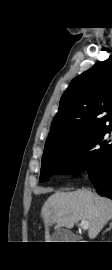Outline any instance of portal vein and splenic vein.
<instances>
[{
	"label": "portal vein and splenic vein",
	"instance_id": "18ae733b",
	"mask_svg": "<svg viewBox=\"0 0 112 270\" xmlns=\"http://www.w3.org/2000/svg\"><path fill=\"white\" fill-rule=\"evenodd\" d=\"M80 226L82 229L86 230L89 228V223H88V221L83 220V221H81Z\"/></svg>",
	"mask_w": 112,
	"mask_h": 270
}]
</instances>
